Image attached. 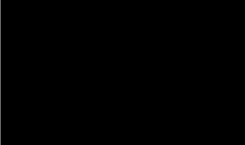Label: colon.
Wrapping results in <instances>:
<instances>
[{"mask_svg": "<svg viewBox=\"0 0 245 145\" xmlns=\"http://www.w3.org/2000/svg\"><path fill=\"white\" fill-rule=\"evenodd\" d=\"M202 70H203V73H204V77L206 79H208L209 76H210V65L208 63H203L202 64Z\"/></svg>", "mask_w": 245, "mask_h": 145, "instance_id": "colon-1", "label": "colon"}]
</instances>
